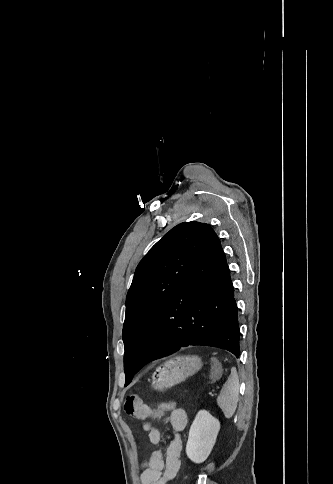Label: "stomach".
<instances>
[{"label":"stomach","instance_id":"stomach-1","mask_svg":"<svg viewBox=\"0 0 333 484\" xmlns=\"http://www.w3.org/2000/svg\"><path fill=\"white\" fill-rule=\"evenodd\" d=\"M202 367L201 358L197 355H182L170 358L160 364L152 375V387L165 391L183 382L187 377L198 372Z\"/></svg>","mask_w":333,"mask_h":484}]
</instances>
